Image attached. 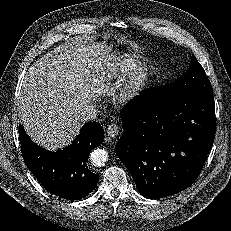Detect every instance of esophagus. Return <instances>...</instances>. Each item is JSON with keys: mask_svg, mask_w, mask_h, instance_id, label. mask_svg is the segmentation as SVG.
Here are the masks:
<instances>
[{"mask_svg": "<svg viewBox=\"0 0 231 231\" xmlns=\"http://www.w3.org/2000/svg\"><path fill=\"white\" fill-rule=\"evenodd\" d=\"M120 130L121 128L117 124L113 123L107 127L106 133L108 136L114 138L118 136V134L120 133Z\"/></svg>", "mask_w": 231, "mask_h": 231, "instance_id": "34e87169", "label": "esophagus"}]
</instances>
